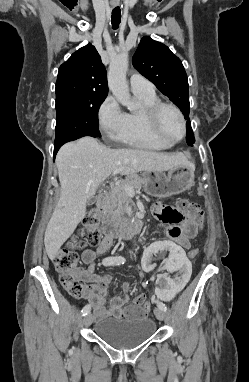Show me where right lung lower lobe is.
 <instances>
[{"mask_svg":"<svg viewBox=\"0 0 249 382\" xmlns=\"http://www.w3.org/2000/svg\"><path fill=\"white\" fill-rule=\"evenodd\" d=\"M65 143H66V142H65ZM65 143L54 144V156H53L54 159H55V156H56V154H57L59 148H60L63 144H65Z\"/></svg>","mask_w":249,"mask_h":382,"instance_id":"1","label":"right lung lower lobe"}]
</instances>
